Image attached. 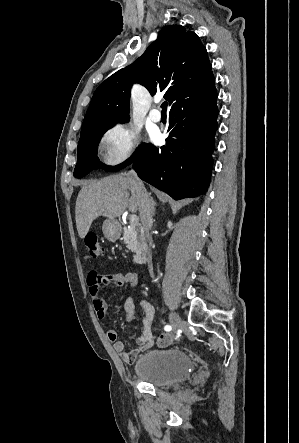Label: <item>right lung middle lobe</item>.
<instances>
[{
  "mask_svg": "<svg viewBox=\"0 0 299 443\" xmlns=\"http://www.w3.org/2000/svg\"><path fill=\"white\" fill-rule=\"evenodd\" d=\"M124 122L126 121H122V123ZM114 124L116 123L97 128L80 137L78 143V160L74 170V176L76 178H81L92 170L99 168L109 172H115L125 168L139 157L146 144L140 145L129 159L117 166H107L99 161L97 157V147L101 136Z\"/></svg>",
  "mask_w": 299,
  "mask_h": 443,
  "instance_id": "obj_1",
  "label": "right lung middle lobe"
}]
</instances>
